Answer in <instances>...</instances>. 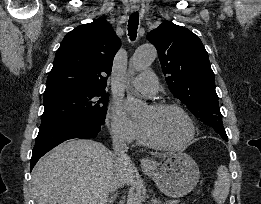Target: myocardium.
I'll return each instance as SVG.
<instances>
[{
	"label": "myocardium",
	"instance_id": "obj_1",
	"mask_svg": "<svg viewBox=\"0 0 261 204\" xmlns=\"http://www.w3.org/2000/svg\"><path fill=\"white\" fill-rule=\"evenodd\" d=\"M150 108L156 113H159V112H162V111L168 110V109L176 110L183 115V117L186 119L188 126H189V135L184 142L177 144V145H169V144L162 142L148 126L141 123V128L144 132V135H145L148 143L151 146H153L157 149H160V150H165V151H178V150L185 149L187 146L190 145V143L193 141V139L195 137L196 128H195V124H194L192 117L186 111L185 108H183L181 105H179L177 103H173V102L154 103L150 106Z\"/></svg>",
	"mask_w": 261,
	"mask_h": 204
}]
</instances>
